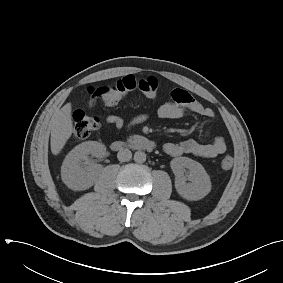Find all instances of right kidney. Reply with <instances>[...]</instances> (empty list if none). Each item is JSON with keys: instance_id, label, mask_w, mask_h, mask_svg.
<instances>
[{"instance_id": "obj_1", "label": "right kidney", "mask_w": 283, "mask_h": 283, "mask_svg": "<svg viewBox=\"0 0 283 283\" xmlns=\"http://www.w3.org/2000/svg\"><path fill=\"white\" fill-rule=\"evenodd\" d=\"M105 154L106 147L96 141L77 145L63 161L61 178L64 184L75 191L90 188L95 182L98 167L91 165L89 155L102 157Z\"/></svg>"}]
</instances>
